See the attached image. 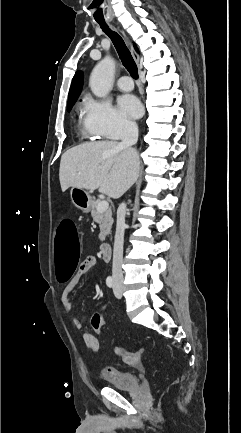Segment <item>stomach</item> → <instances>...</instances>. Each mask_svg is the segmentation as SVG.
<instances>
[{"instance_id": "1", "label": "stomach", "mask_w": 241, "mask_h": 433, "mask_svg": "<svg viewBox=\"0 0 241 433\" xmlns=\"http://www.w3.org/2000/svg\"><path fill=\"white\" fill-rule=\"evenodd\" d=\"M70 194L72 203L75 207L84 213H88L90 211L92 198L87 190L73 187Z\"/></svg>"}]
</instances>
